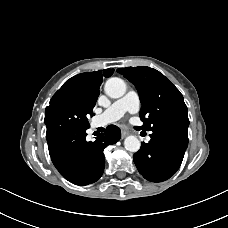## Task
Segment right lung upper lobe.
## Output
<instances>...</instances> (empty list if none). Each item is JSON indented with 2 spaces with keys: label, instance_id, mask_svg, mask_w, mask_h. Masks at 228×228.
<instances>
[{
  "label": "right lung upper lobe",
  "instance_id": "right-lung-upper-lobe-1",
  "mask_svg": "<svg viewBox=\"0 0 228 228\" xmlns=\"http://www.w3.org/2000/svg\"><path fill=\"white\" fill-rule=\"evenodd\" d=\"M113 72L114 69H105L78 74L66 81L58 92L71 94L82 103L94 108L103 77L108 78Z\"/></svg>",
  "mask_w": 228,
  "mask_h": 228
}]
</instances>
